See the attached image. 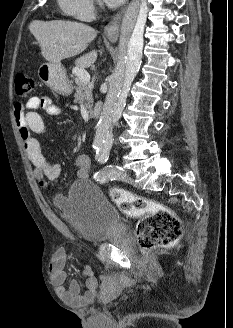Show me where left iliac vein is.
Masks as SVG:
<instances>
[{"instance_id": "1", "label": "left iliac vein", "mask_w": 233, "mask_h": 328, "mask_svg": "<svg viewBox=\"0 0 233 328\" xmlns=\"http://www.w3.org/2000/svg\"><path fill=\"white\" fill-rule=\"evenodd\" d=\"M115 176L118 180L134 184V179L127 175L124 171L118 170L115 172Z\"/></svg>"}]
</instances>
